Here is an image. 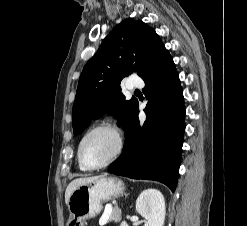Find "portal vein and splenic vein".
<instances>
[{"mask_svg": "<svg viewBox=\"0 0 247 226\" xmlns=\"http://www.w3.org/2000/svg\"><path fill=\"white\" fill-rule=\"evenodd\" d=\"M105 210L107 212H111L112 211V206L111 205L106 206V209Z\"/></svg>", "mask_w": 247, "mask_h": 226, "instance_id": "obj_1", "label": "portal vein and splenic vein"}]
</instances>
